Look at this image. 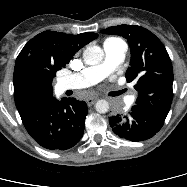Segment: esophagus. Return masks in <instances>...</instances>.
Returning <instances> with one entry per match:
<instances>
[{
    "label": "esophagus",
    "instance_id": "obj_1",
    "mask_svg": "<svg viewBox=\"0 0 187 187\" xmlns=\"http://www.w3.org/2000/svg\"><path fill=\"white\" fill-rule=\"evenodd\" d=\"M96 100H97V98H88L86 100V103H87L88 106H91L96 102Z\"/></svg>",
    "mask_w": 187,
    "mask_h": 187
}]
</instances>
